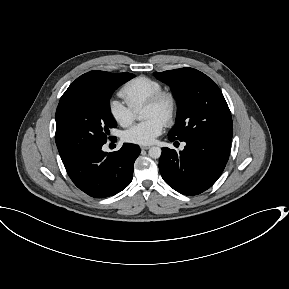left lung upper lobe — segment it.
Returning <instances> with one entry per match:
<instances>
[{
	"mask_svg": "<svg viewBox=\"0 0 289 289\" xmlns=\"http://www.w3.org/2000/svg\"><path fill=\"white\" fill-rule=\"evenodd\" d=\"M154 75L171 86L177 100L176 122L169 137L179 141L204 138L231 142L232 117L219 87L193 68H180Z\"/></svg>",
	"mask_w": 289,
	"mask_h": 289,
	"instance_id": "5c2ea615",
	"label": "left lung upper lobe"
}]
</instances>
